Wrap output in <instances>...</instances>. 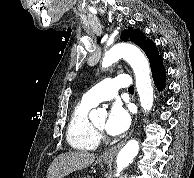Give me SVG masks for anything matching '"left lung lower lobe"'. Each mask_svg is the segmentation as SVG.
<instances>
[{
    "instance_id": "obj_1",
    "label": "left lung lower lobe",
    "mask_w": 194,
    "mask_h": 178,
    "mask_svg": "<svg viewBox=\"0 0 194 178\" xmlns=\"http://www.w3.org/2000/svg\"><path fill=\"white\" fill-rule=\"evenodd\" d=\"M152 76L157 89L160 91L165 84L166 71L163 66L162 58H159L151 67Z\"/></svg>"
}]
</instances>
